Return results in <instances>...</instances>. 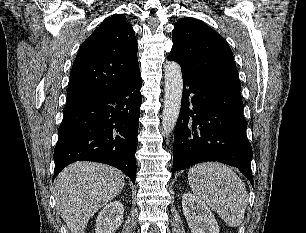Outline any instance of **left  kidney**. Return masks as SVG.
<instances>
[{
	"label": "left kidney",
	"mask_w": 306,
	"mask_h": 233,
	"mask_svg": "<svg viewBox=\"0 0 306 233\" xmlns=\"http://www.w3.org/2000/svg\"><path fill=\"white\" fill-rule=\"evenodd\" d=\"M182 208L191 233H219V226L210 208L190 192L183 194Z\"/></svg>",
	"instance_id": "obj_1"
}]
</instances>
